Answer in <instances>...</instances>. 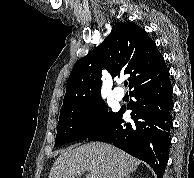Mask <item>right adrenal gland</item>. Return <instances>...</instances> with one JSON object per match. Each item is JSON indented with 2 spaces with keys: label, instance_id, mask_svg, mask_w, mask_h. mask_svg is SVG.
I'll return each mask as SVG.
<instances>
[{
  "label": "right adrenal gland",
  "instance_id": "obj_1",
  "mask_svg": "<svg viewBox=\"0 0 194 178\" xmlns=\"http://www.w3.org/2000/svg\"><path fill=\"white\" fill-rule=\"evenodd\" d=\"M125 178H130V175H127Z\"/></svg>",
  "mask_w": 194,
  "mask_h": 178
}]
</instances>
